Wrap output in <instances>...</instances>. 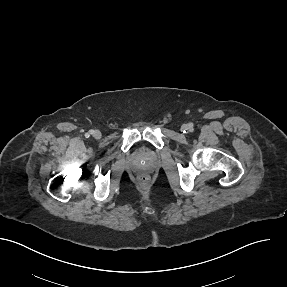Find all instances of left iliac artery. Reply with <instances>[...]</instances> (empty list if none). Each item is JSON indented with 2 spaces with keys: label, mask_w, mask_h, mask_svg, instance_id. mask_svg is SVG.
Returning <instances> with one entry per match:
<instances>
[{
  "label": "left iliac artery",
  "mask_w": 287,
  "mask_h": 287,
  "mask_svg": "<svg viewBox=\"0 0 287 287\" xmlns=\"http://www.w3.org/2000/svg\"><path fill=\"white\" fill-rule=\"evenodd\" d=\"M189 129H193V125L192 124H189Z\"/></svg>",
  "instance_id": "obj_1"
}]
</instances>
